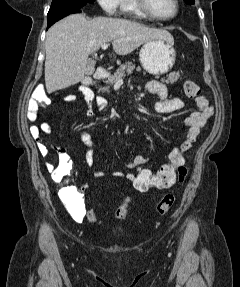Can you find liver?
<instances>
[{
    "label": "liver",
    "instance_id": "obj_1",
    "mask_svg": "<svg viewBox=\"0 0 240 287\" xmlns=\"http://www.w3.org/2000/svg\"><path fill=\"white\" fill-rule=\"evenodd\" d=\"M173 40L164 30L141 23L110 17L86 19L73 14L54 24L45 40V85L47 93L81 82L86 74L88 56L112 41L118 55H127L147 41Z\"/></svg>",
    "mask_w": 240,
    "mask_h": 287
}]
</instances>
